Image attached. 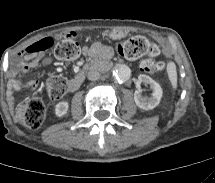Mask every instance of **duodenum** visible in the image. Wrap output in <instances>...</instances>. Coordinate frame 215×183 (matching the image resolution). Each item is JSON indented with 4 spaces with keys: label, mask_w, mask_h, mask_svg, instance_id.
Masks as SVG:
<instances>
[{
    "label": "duodenum",
    "mask_w": 215,
    "mask_h": 183,
    "mask_svg": "<svg viewBox=\"0 0 215 183\" xmlns=\"http://www.w3.org/2000/svg\"><path fill=\"white\" fill-rule=\"evenodd\" d=\"M90 67L95 69H107L109 67V61L106 58H100L95 60ZM85 74V70L77 72L76 75L69 80L67 84L68 90L76 91L79 89L85 79Z\"/></svg>",
    "instance_id": "410a0bca"
}]
</instances>
